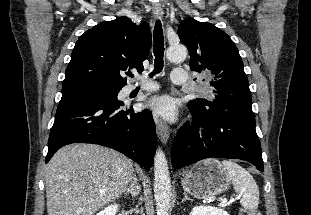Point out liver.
<instances>
[{"instance_id": "obj_1", "label": "liver", "mask_w": 311, "mask_h": 215, "mask_svg": "<svg viewBox=\"0 0 311 215\" xmlns=\"http://www.w3.org/2000/svg\"><path fill=\"white\" fill-rule=\"evenodd\" d=\"M133 163L94 144L59 149L46 168L48 215H93L119 198L133 177Z\"/></svg>"}]
</instances>
